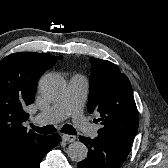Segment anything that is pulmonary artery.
<instances>
[{"label":"pulmonary artery","mask_w":168,"mask_h":168,"mask_svg":"<svg viewBox=\"0 0 168 168\" xmlns=\"http://www.w3.org/2000/svg\"><path fill=\"white\" fill-rule=\"evenodd\" d=\"M88 80L83 75H73L64 96L51 107L38 114L36 122H59L72 117L77 128L92 137L97 136V127L92 125L82 114L88 94Z\"/></svg>","instance_id":"obj_1"}]
</instances>
